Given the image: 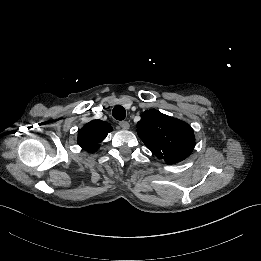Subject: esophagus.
<instances>
[{
  "mask_svg": "<svg viewBox=\"0 0 261 261\" xmlns=\"http://www.w3.org/2000/svg\"><path fill=\"white\" fill-rule=\"evenodd\" d=\"M119 126L124 130H128L130 128V124L127 121L119 122Z\"/></svg>",
  "mask_w": 261,
  "mask_h": 261,
  "instance_id": "34e87169",
  "label": "esophagus"
}]
</instances>
